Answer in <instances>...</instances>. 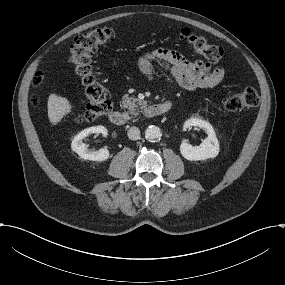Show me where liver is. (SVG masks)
I'll return each instance as SVG.
<instances>
[{
	"label": "liver",
	"mask_w": 285,
	"mask_h": 285,
	"mask_svg": "<svg viewBox=\"0 0 285 285\" xmlns=\"http://www.w3.org/2000/svg\"><path fill=\"white\" fill-rule=\"evenodd\" d=\"M71 105L66 98L51 94L48 98V117L52 125H56L71 112Z\"/></svg>",
	"instance_id": "liver-1"
}]
</instances>
